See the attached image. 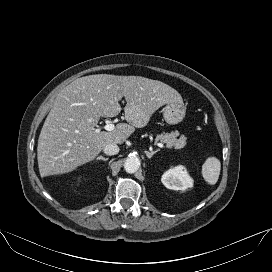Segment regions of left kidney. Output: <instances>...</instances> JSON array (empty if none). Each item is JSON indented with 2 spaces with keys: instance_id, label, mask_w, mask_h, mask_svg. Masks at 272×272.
<instances>
[{
  "instance_id": "5707ae66",
  "label": "left kidney",
  "mask_w": 272,
  "mask_h": 272,
  "mask_svg": "<svg viewBox=\"0 0 272 272\" xmlns=\"http://www.w3.org/2000/svg\"><path fill=\"white\" fill-rule=\"evenodd\" d=\"M162 183L168 189L185 191L193 186V179L187 173L182 165L170 168L166 171L162 178Z\"/></svg>"
}]
</instances>
